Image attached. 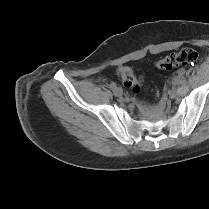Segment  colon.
<instances>
[{
	"label": "colon",
	"mask_w": 209,
	"mask_h": 209,
	"mask_svg": "<svg viewBox=\"0 0 209 209\" xmlns=\"http://www.w3.org/2000/svg\"><path fill=\"white\" fill-rule=\"evenodd\" d=\"M198 58L197 52L192 48H183L178 52L167 55L156 62V67L160 70H171L181 65H189L196 62ZM118 77L122 84L132 90L138 92L141 87L140 78L133 72L130 67L122 66L117 71Z\"/></svg>",
	"instance_id": "obj_1"
}]
</instances>
